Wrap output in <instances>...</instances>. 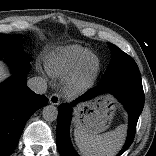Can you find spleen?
I'll return each instance as SVG.
<instances>
[{"mask_svg": "<svg viewBox=\"0 0 156 156\" xmlns=\"http://www.w3.org/2000/svg\"><path fill=\"white\" fill-rule=\"evenodd\" d=\"M125 126L100 135L91 127L77 125L74 130L75 143L82 156H115L125 140Z\"/></svg>", "mask_w": 156, "mask_h": 156, "instance_id": "spleen-1", "label": "spleen"}]
</instances>
